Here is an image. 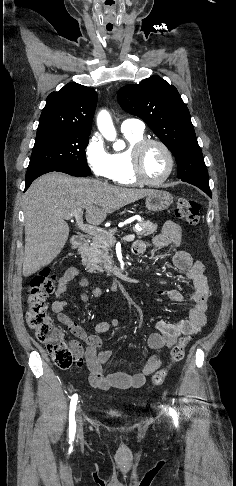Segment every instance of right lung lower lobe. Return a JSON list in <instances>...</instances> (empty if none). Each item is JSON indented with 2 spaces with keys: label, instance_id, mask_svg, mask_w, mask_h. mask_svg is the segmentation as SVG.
I'll return each mask as SVG.
<instances>
[{
  "label": "right lung lower lobe",
  "instance_id": "98d812e1",
  "mask_svg": "<svg viewBox=\"0 0 236 486\" xmlns=\"http://www.w3.org/2000/svg\"><path fill=\"white\" fill-rule=\"evenodd\" d=\"M52 171H58V172H63L67 173L72 176H77V177H85L88 176L90 173H85V172H80V171H72V170H66V169H55V168H38L34 170L27 171V174L25 176V190L28 189L30 184L39 176L52 172Z\"/></svg>",
  "mask_w": 236,
  "mask_h": 486
}]
</instances>
